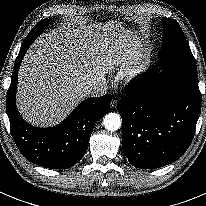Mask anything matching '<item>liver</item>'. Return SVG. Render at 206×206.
<instances>
[{"label":"liver","mask_w":206,"mask_h":206,"mask_svg":"<svg viewBox=\"0 0 206 206\" xmlns=\"http://www.w3.org/2000/svg\"><path fill=\"white\" fill-rule=\"evenodd\" d=\"M109 24H68L39 37L19 69L17 104L36 126L63 120L87 89L137 54L133 35Z\"/></svg>","instance_id":"1"}]
</instances>
